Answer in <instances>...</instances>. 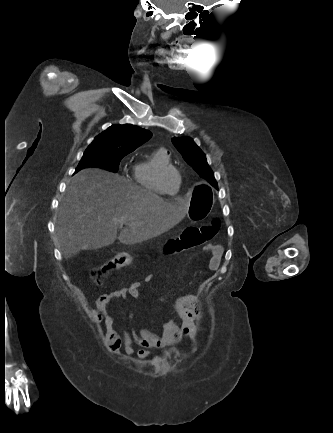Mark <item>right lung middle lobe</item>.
I'll return each mask as SVG.
<instances>
[{
	"instance_id": "dd1d6c3e",
	"label": "right lung middle lobe",
	"mask_w": 333,
	"mask_h": 433,
	"mask_svg": "<svg viewBox=\"0 0 333 433\" xmlns=\"http://www.w3.org/2000/svg\"><path fill=\"white\" fill-rule=\"evenodd\" d=\"M128 153L116 149L89 146L76 168V172L86 167H100L117 172L121 159Z\"/></svg>"
}]
</instances>
